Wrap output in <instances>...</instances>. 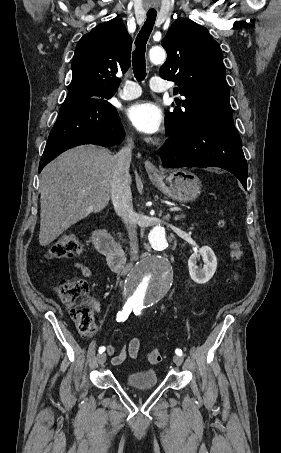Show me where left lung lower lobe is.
I'll use <instances>...</instances> for the list:
<instances>
[{"mask_svg": "<svg viewBox=\"0 0 281 453\" xmlns=\"http://www.w3.org/2000/svg\"><path fill=\"white\" fill-rule=\"evenodd\" d=\"M160 148L166 167H220L233 173L247 190V163L233 118L206 121L169 136Z\"/></svg>", "mask_w": 281, "mask_h": 453, "instance_id": "1", "label": "left lung lower lobe"}]
</instances>
